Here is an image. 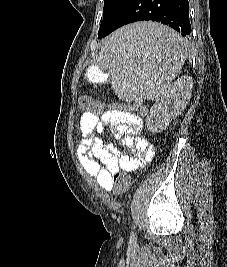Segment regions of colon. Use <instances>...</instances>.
I'll list each match as a JSON object with an SVG mask.
<instances>
[{
    "label": "colon",
    "mask_w": 227,
    "mask_h": 267,
    "mask_svg": "<svg viewBox=\"0 0 227 267\" xmlns=\"http://www.w3.org/2000/svg\"><path fill=\"white\" fill-rule=\"evenodd\" d=\"M79 106L81 109L91 113H99L102 107L103 109H121L122 113H131L132 116H147L150 113L149 104H126L125 100L93 101L87 96L79 99ZM112 178H114L115 193L122 194L130 185V169H119V173H112Z\"/></svg>",
    "instance_id": "1"
}]
</instances>
